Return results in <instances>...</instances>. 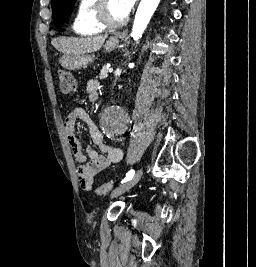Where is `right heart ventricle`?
<instances>
[{"mask_svg": "<svg viewBox=\"0 0 256 267\" xmlns=\"http://www.w3.org/2000/svg\"><path fill=\"white\" fill-rule=\"evenodd\" d=\"M85 2L79 17L72 26V30L78 36H102L103 29L94 20L98 0H83Z\"/></svg>", "mask_w": 256, "mask_h": 267, "instance_id": "1", "label": "right heart ventricle"}]
</instances>
